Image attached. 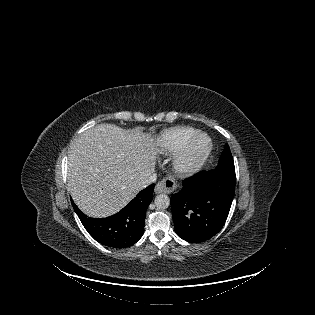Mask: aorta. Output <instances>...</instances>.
I'll use <instances>...</instances> for the list:
<instances>
[{
	"label": "aorta",
	"mask_w": 315,
	"mask_h": 315,
	"mask_svg": "<svg viewBox=\"0 0 315 315\" xmlns=\"http://www.w3.org/2000/svg\"><path fill=\"white\" fill-rule=\"evenodd\" d=\"M154 202L158 209H166L170 205V198L165 194H160L156 196Z\"/></svg>",
	"instance_id": "1"
}]
</instances>
